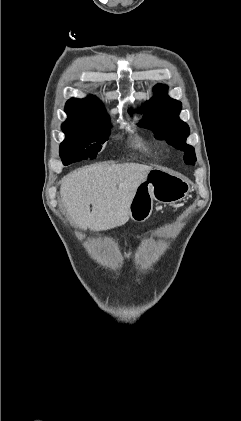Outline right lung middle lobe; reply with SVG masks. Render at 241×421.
<instances>
[{"label":"right lung middle lobe","instance_id":"right-lung-middle-lobe-1","mask_svg":"<svg viewBox=\"0 0 241 421\" xmlns=\"http://www.w3.org/2000/svg\"><path fill=\"white\" fill-rule=\"evenodd\" d=\"M66 135L60 144V157L64 165L83 159H94L110 133L109 119H100L90 124L63 123Z\"/></svg>","mask_w":241,"mask_h":421}]
</instances>
